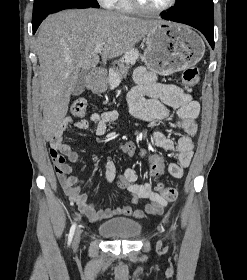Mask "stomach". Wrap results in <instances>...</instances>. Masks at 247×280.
Returning a JSON list of instances; mask_svg holds the SVG:
<instances>
[{
	"label": "stomach",
	"instance_id": "obj_1",
	"mask_svg": "<svg viewBox=\"0 0 247 280\" xmlns=\"http://www.w3.org/2000/svg\"><path fill=\"white\" fill-rule=\"evenodd\" d=\"M146 48L142 56L145 65L161 75H170L196 65L204 55L202 38L185 25L164 23L147 34ZM127 72V68L119 70ZM94 90L103 91L105 83L92 85Z\"/></svg>",
	"mask_w": 247,
	"mask_h": 280
}]
</instances>
